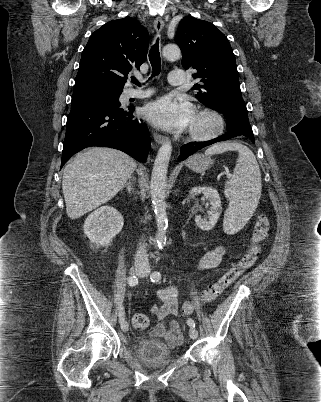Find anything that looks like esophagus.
<instances>
[{
    "label": "esophagus",
    "mask_w": 321,
    "mask_h": 402,
    "mask_svg": "<svg viewBox=\"0 0 321 402\" xmlns=\"http://www.w3.org/2000/svg\"><path fill=\"white\" fill-rule=\"evenodd\" d=\"M163 27H164L163 19L161 17H157L154 21V28H155L156 32L160 33L162 31ZM154 139L158 144H162L167 140V138L165 136H163L161 134H157V133L154 134Z\"/></svg>",
    "instance_id": "34e87169"
}]
</instances>
